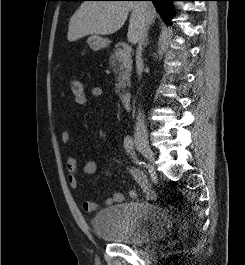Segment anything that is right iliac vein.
I'll list each match as a JSON object with an SVG mask.
<instances>
[{
    "mask_svg": "<svg viewBox=\"0 0 245 265\" xmlns=\"http://www.w3.org/2000/svg\"><path fill=\"white\" fill-rule=\"evenodd\" d=\"M136 147L139 150V152L150 162L154 163V153L152 149L150 148L148 142L143 137H139L136 139Z\"/></svg>",
    "mask_w": 245,
    "mask_h": 265,
    "instance_id": "obj_1",
    "label": "right iliac vein"
}]
</instances>
